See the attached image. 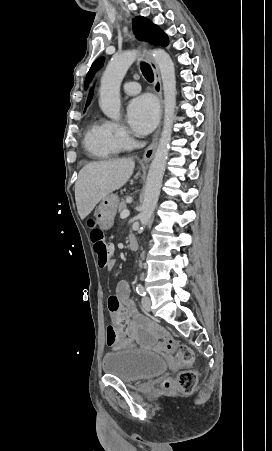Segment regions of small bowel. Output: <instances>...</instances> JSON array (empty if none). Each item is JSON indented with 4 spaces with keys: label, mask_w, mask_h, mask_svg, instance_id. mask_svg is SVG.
<instances>
[{
    "label": "small bowel",
    "mask_w": 272,
    "mask_h": 451,
    "mask_svg": "<svg viewBox=\"0 0 272 451\" xmlns=\"http://www.w3.org/2000/svg\"><path fill=\"white\" fill-rule=\"evenodd\" d=\"M115 265L116 261L111 259L107 264V268L112 269ZM107 305L112 319L116 315H121L128 319L127 329L119 333L123 340L134 341L142 348L155 352L163 350L165 342L160 339L164 340L165 336L170 334L156 323L133 315L130 291L126 282L122 281L116 285L114 293L108 297ZM132 315L133 317L130 319Z\"/></svg>",
    "instance_id": "obj_1"
}]
</instances>
